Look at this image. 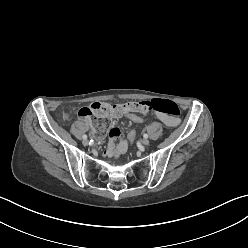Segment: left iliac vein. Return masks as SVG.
Here are the masks:
<instances>
[{
	"label": "left iliac vein",
	"mask_w": 248,
	"mask_h": 248,
	"mask_svg": "<svg viewBox=\"0 0 248 248\" xmlns=\"http://www.w3.org/2000/svg\"><path fill=\"white\" fill-rule=\"evenodd\" d=\"M149 143H150L149 140L146 138L142 140V144L145 146L149 145Z\"/></svg>",
	"instance_id": "obj_1"
}]
</instances>
